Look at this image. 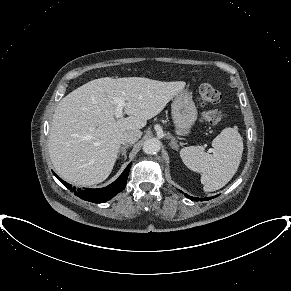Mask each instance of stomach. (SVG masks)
I'll list each match as a JSON object with an SVG mask.
<instances>
[{
    "mask_svg": "<svg viewBox=\"0 0 291 291\" xmlns=\"http://www.w3.org/2000/svg\"><path fill=\"white\" fill-rule=\"evenodd\" d=\"M197 108L187 90L180 91L172 102V118L175 128L188 135L197 119Z\"/></svg>",
    "mask_w": 291,
    "mask_h": 291,
    "instance_id": "stomach-1",
    "label": "stomach"
}]
</instances>
